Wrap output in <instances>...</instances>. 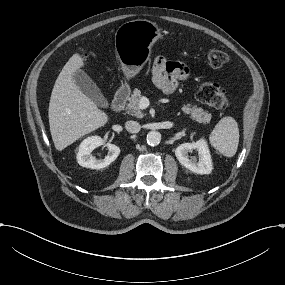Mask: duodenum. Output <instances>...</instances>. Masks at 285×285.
Instances as JSON below:
<instances>
[{
    "label": "duodenum",
    "instance_id": "410a0bca",
    "mask_svg": "<svg viewBox=\"0 0 285 285\" xmlns=\"http://www.w3.org/2000/svg\"><path fill=\"white\" fill-rule=\"evenodd\" d=\"M129 95H130L129 88H127V87L120 88L116 92L114 99H113V102H112L113 110L116 112H120L123 109L126 101L128 100Z\"/></svg>",
    "mask_w": 285,
    "mask_h": 285
}]
</instances>
